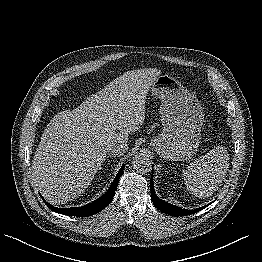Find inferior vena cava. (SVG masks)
<instances>
[{"label":"inferior vena cava","instance_id":"inferior-vena-cava-1","mask_svg":"<svg viewBox=\"0 0 262 262\" xmlns=\"http://www.w3.org/2000/svg\"><path fill=\"white\" fill-rule=\"evenodd\" d=\"M128 150V144L126 142L113 143L108 147L109 155L113 157L121 156Z\"/></svg>","mask_w":262,"mask_h":262}]
</instances>
